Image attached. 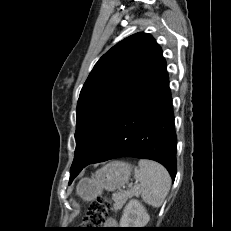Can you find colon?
I'll return each mask as SVG.
<instances>
[{
	"mask_svg": "<svg viewBox=\"0 0 231 231\" xmlns=\"http://www.w3.org/2000/svg\"><path fill=\"white\" fill-rule=\"evenodd\" d=\"M111 209V202L106 197H99L90 206L87 216L84 218L83 223L87 226L97 227L104 223L105 216Z\"/></svg>",
	"mask_w": 231,
	"mask_h": 231,
	"instance_id": "colon-1",
	"label": "colon"
}]
</instances>
